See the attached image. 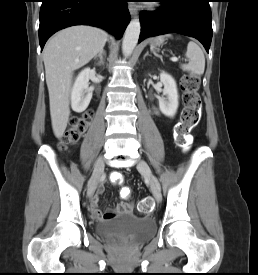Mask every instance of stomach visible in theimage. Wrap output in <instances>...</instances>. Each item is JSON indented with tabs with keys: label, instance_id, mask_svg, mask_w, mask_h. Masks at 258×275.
I'll return each mask as SVG.
<instances>
[{
	"label": "stomach",
	"instance_id": "0dacf381",
	"mask_svg": "<svg viewBox=\"0 0 258 275\" xmlns=\"http://www.w3.org/2000/svg\"><path fill=\"white\" fill-rule=\"evenodd\" d=\"M163 41H164V39H163V37H157V38H155L154 40H153V43L155 44V45H160L161 43H163Z\"/></svg>",
	"mask_w": 258,
	"mask_h": 275
}]
</instances>
